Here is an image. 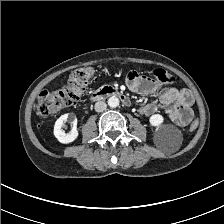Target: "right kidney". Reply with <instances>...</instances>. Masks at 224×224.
Returning <instances> with one entry per match:
<instances>
[{
  "label": "right kidney",
  "mask_w": 224,
  "mask_h": 224,
  "mask_svg": "<svg viewBox=\"0 0 224 224\" xmlns=\"http://www.w3.org/2000/svg\"><path fill=\"white\" fill-rule=\"evenodd\" d=\"M70 122L72 125V129L69 133H65L62 130V126L65 122ZM77 118L73 113H67L62 115L57 119L54 125V136L58 139L59 142L67 144L73 142L78 137L77 130Z\"/></svg>",
  "instance_id": "obj_1"
}]
</instances>
